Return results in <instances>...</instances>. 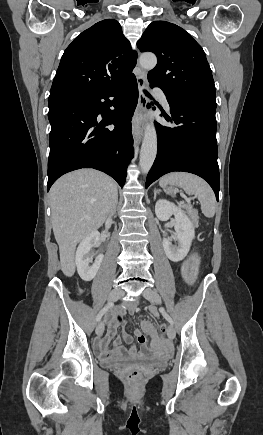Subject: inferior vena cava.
Returning a JSON list of instances; mask_svg holds the SVG:
<instances>
[{"instance_id":"inferior-vena-cava-1","label":"inferior vena cava","mask_w":263,"mask_h":435,"mask_svg":"<svg viewBox=\"0 0 263 435\" xmlns=\"http://www.w3.org/2000/svg\"><path fill=\"white\" fill-rule=\"evenodd\" d=\"M114 214V211H113V207H112V209H111V212H110V214H109V216H108V219L110 220L111 219V216Z\"/></svg>"}]
</instances>
